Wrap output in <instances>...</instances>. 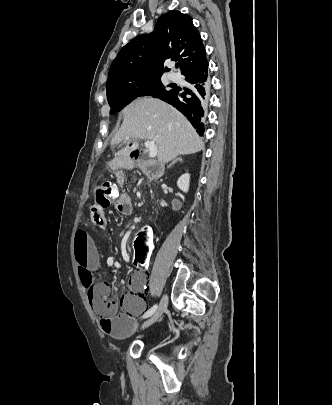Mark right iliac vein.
<instances>
[{
	"mask_svg": "<svg viewBox=\"0 0 332 405\" xmlns=\"http://www.w3.org/2000/svg\"><path fill=\"white\" fill-rule=\"evenodd\" d=\"M167 305H168V296L164 295L160 301V304H159L157 310L152 314V316L148 320H146L142 324L141 329H145V328L149 327L150 325H152L154 322H156L161 317V315L164 313V311L166 310Z\"/></svg>",
	"mask_w": 332,
	"mask_h": 405,
	"instance_id": "63e3f726",
	"label": "right iliac vein"
}]
</instances>
